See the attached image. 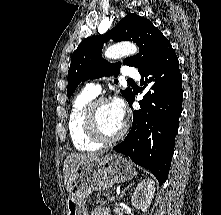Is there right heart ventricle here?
Here are the masks:
<instances>
[{
  "label": "right heart ventricle",
  "mask_w": 221,
  "mask_h": 215,
  "mask_svg": "<svg viewBox=\"0 0 221 215\" xmlns=\"http://www.w3.org/2000/svg\"><path fill=\"white\" fill-rule=\"evenodd\" d=\"M95 98L87 91H82L73 99L68 115V132L75 149L81 152L95 151L100 143L93 141L87 136L83 127V113L86 105Z\"/></svg>",
  "instance_id": "e07e8e85"
}]
</instances>
